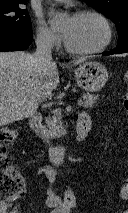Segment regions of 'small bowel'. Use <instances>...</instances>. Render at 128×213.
Wrapping results in <instances>:
<instances>
[{
  "label": "small bowel",
  "mask_w": 128,
  "mask_h": 213,
  "mask_svg": "<svg viewBox=\"0 0 128 213\" xmlns=\"http://www.w3.org/2000/svg\"><path fill=\"white\" fill-rule=\"evenodd\" d=\"M37 174L49 185H53L57 179V171L51 166H42L37 171ZM62 203L63 199L61 196L53 188H50L44 200L42 213H73V209L64 211ZM0 213H19V205L14 202L0 201Z\"/></svg>",
  "instance_id": "obj_1"
}]
</instances>
